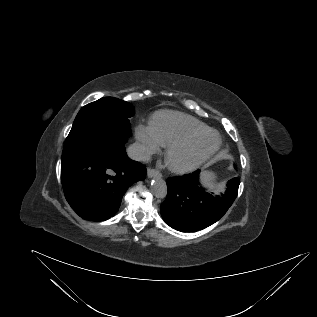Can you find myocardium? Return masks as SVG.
<instances>
[{
	"mask_svg": "<svg viewBox=\"0 0 317 317\" xmlns=\"http://www.w3.org/2000/svg\"><path fill=\"white\" fill-rule=\"evenodd\" d=\"M207 134H213L216 137V141L213 146L207 149L205 152L199 154L195 159L191 162L178 165L171 162L170 157L174 151L188 144L189 142L201 138ZM222 143V139L220 134L213 129H203L199 131L189 132L175 140H173L170 144L166 146L164 158L168 168L175 173H188L197 168H199L202 164L207 162L211 157H213L217 151L220 149Z\"/></svg>",
	"mask_w": 317,
	"mask_h": 317,
	"instance_id": "f54148a6",
	"label": "myocardium"
}]
</instances>
